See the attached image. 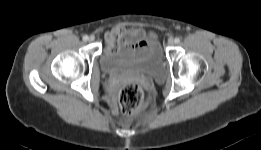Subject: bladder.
I'll return each instance as SVG.
<instances>
[{
    "mask_svg": "<svg viewBox=\"0 0 261 150\" xmlns=\"http://www.w3.org/2000/svg\"><path fill=\"white\" fill-rule=\"evenodd\" d=\"M147 45L137 48L132 45H108L102 50L100 67L105 73L134 71L161 80L165 76V61L157 37L140 32Z\"/></svg>",
    "mask_w": 261,
    "mask_h": 150,
    "instance_id": "obj_1",
    "label": "bladder"
}]
</instances>
